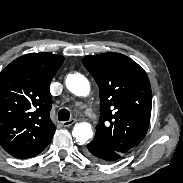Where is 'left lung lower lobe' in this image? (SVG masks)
Listing matches in <instances>:
<instances>
[{
  "mask_svg": "<svg viewBox=\"0 0 183 183\" xmlns=\"http://www.w3.org/2000/svg\"><path fill=\"white\" fill-rule=\"evenodd\" d=\"M85 152L89 158L100 163L114 162L124 156V154L100 144L96 139L87 145Z\"/></svg>",
  "mask_w": 183,
  "mask_h": 183,
  "instance_id": "1",
  "label": "left lung lower lobe"
}]
</instances>
